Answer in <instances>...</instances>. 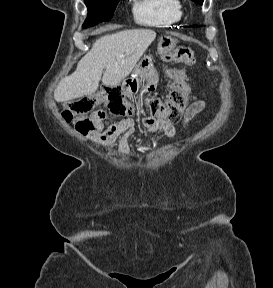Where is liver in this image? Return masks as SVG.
I'll list each match as a JSON object with an SVG mask.
<instances>
[{
  "mask_svg": "<svg viewBox=\"0 0 273 288\" xmlns=\"http://www.w3.org/2000/svg\"><path fill=\"white\" fill-rule=\"evenodd\" d=\"M156 38L150 29L123 30L99 38L79 61L74 73L63 78L54 91L57 102H67L97 91L102 83L117 87Z\"/></svg>",
  "mask_w": 273,
  "mask_h": 288,
  "instance_id": "6515ba94",
  "label": "liver"
}]
</instances>
